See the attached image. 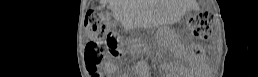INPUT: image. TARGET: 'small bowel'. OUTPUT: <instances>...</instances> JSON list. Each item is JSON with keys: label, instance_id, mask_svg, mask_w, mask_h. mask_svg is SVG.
<instances>
[{"label": "small bowel", "instance_id": "small-bowel-1", "mask_svg": "<svg viewBox=\"0 0 258 77\" xmlns=\"http://www.w3.org/2000/svg\"><path fill=\"white\" fill-rule=\"evenodd\" d=\"M191 64H192V69L195 70L198 68V64H197L196 60H192Z\"/></svg>", "mask_w": 258, "mask_h": 77}]
</instances>
